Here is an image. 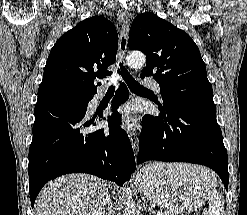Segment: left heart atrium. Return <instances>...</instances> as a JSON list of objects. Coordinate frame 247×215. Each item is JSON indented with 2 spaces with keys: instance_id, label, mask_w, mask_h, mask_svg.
Wrapping results in <instances>:
<instances>
[{
  "instance_id": "left-heart-atrium-1",
  "label": "left heart atrium",
  "mask_w": 247,
  "mask_h": 215,
  "mask_svg": "<svg viewBox=\"0 0 247 215\" xmlns=\"http://www.w3.org/2000/svg\"><path fill=\"white\" fill-rule=\"evenodd\" d=\"M132 111V108L131 107H125L122 111V120H123V123L126 127H131L133 126V120L130 118V113Z\"/></svg>"
}]
</instances>
